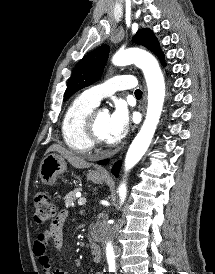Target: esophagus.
<instances>
[{
  "mask_svg": "<svg viewBox=\"0 0 215 274\" xmlns=\"http://www.w3.org/2000/svg\"><path fill=\"white\" fill-rule=\"evenodd\" d=\"M146 101H147V95H146V93H144L143 100H142V114L143 115L145 114V111H146ZM99 173H101L102 175L109 174L107 169H101V170H99Z\"/></svg>",
  "mask_w": 215,
  "mask_h": 274,
  "instance_id": "34e87169",
  "label": "esophagus"
}]
</instances>
